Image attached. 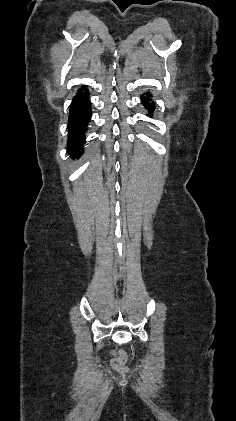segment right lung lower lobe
Here are the masks:
<instances>
[{
	"label": "right lung lower lobe",
	"mask_w": 236,
	"mask_h": 421,
	"mask_svg": "<svg viewBox=\"0 0 236 421\" xmlns=\"http://www.w3.org/2000/svg\"><path fill=\"white\" fill-rule=\"evenodd\" d=\"M90 117L89 94L86 87L83 86L72 99L68 117V152L72 158H79L83 153L86 141L85 131Z\"/></svg>",
	"instance_id": "98d812e1"
}]
</instances>
